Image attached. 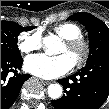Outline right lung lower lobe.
<instances>
[{
    "label": "right lung lower lobe",
    "instance_id": "98d812e1",
    "mask_svg": "<svg viewBox=\"0 0 109 109\" xmlns=\"http://www.w3.org/2000/svg\"><path fill=\"white\" fill-rule=\"evenodd\" d=\"M22 63L21 56L1 55V109H8L15 102L23 83L31 77L17 73Z\"/></svg>",
    "mask_w": 109,
    "mask_h": 109
}]
</instances>
